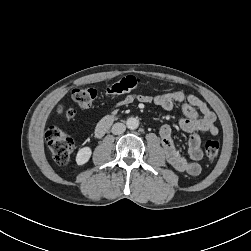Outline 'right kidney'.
Listing matches in <instances>:
<instances>
[{
  "label": "right kidney",
  "mask_w": 251,
  "mask_h": 251,
  "mask_svg": "<svg viewBox=\"0 0 251 251\" xmlns=\"http://www.w3.org/2000/svg\"><path fill=\"white\" fill-rule=\"evenodd\" d=\"M91 154L92 150L90 147L86 146L81 148L76 155V163L78 165H84L89 161Z\"/></svg>",
  "instance_id": "right-kidney-1"
}]
</instances>
